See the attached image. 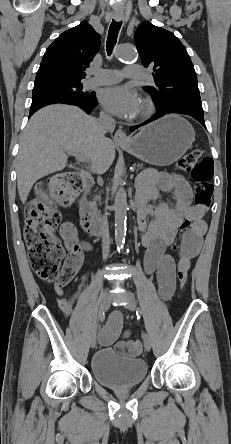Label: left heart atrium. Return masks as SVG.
Segmentation results:
<instances>
[{
  "label": "left heart atrium",
  "instance_id": "left-heart-atrium-1",
  "mask_svg": "<svg viewBox=\"0 0 231 444\" xmlns=\"http://www.w3.org/2000/svg\"><path fill=\"white\" fill-rule=\"evenodd\" d=\"M99 101L107 111L119 117H131L140 107L137 94L124 86L103 89Z\"/></svg>",
  "mask_w": 231,
  "mask_h": 444
}]
</instances>
